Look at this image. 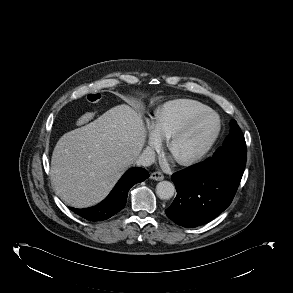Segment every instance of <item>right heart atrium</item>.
<instances>
[{"instance_id": "d8ad5b80", "label": "right heart atrium", "mask_w": 293, "mask_h": 293, "mask_svg": "<svg viewBox=\"0 0 293 293\" xmlns=\"http://www.w3.org/2000/svg\"><path fill=\"white\" fill-rule=\"evenodd\" d=\"M147 126H148V143L146 147V153L149 157H152L155 151L160 149L162 145V138L155 131L152 122H148Z\"/></svg>"}]
</instances>
